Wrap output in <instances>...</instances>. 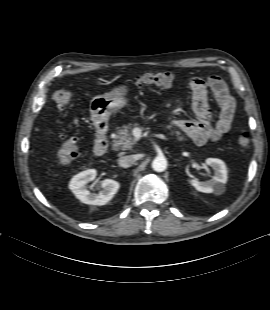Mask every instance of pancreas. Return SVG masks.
<instances>
[{"mask_svg":"<svg viewBox=\"0 0 270 310\" xmlns=\"http://www.w3.org/2000/svg\"><path fill=\"white\" fill-rule=\"evenodd\" d=\"M133 126H137V124L123 125L117 128L113 136V148L115 150L118 149H130L133 145V139L131 137V130ZM182 139H184L182 137Z\"/></svg>","mask_w":270,"mask_h":310,"instance_id":"1","label":"pancreas"}]
</instances>
